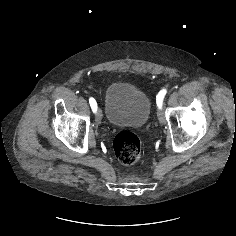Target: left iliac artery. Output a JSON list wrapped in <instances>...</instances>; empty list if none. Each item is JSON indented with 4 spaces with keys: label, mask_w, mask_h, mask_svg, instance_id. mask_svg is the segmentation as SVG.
<instances>
[{
    "label": "left iliac artery",
    "mask_w": 236,
    "mask_h": 236,
    "mask_svg": "<svg viewBox=\"0 0 236 236\" xmlns=\"http://www.w3.org/2000/svg\"><path fill=\"white\" fill-rule=\"evenodd\" d=\"M166 93H167V90H166V89H162V90L158 93V95H157V97H156V102H157L158 108H161V107H162L163 99H164Z\"/></svg>",
    "instance_id": "1"
}]
</instances>
